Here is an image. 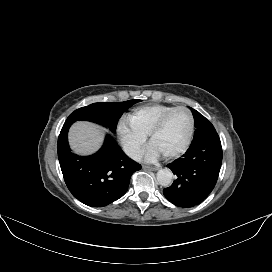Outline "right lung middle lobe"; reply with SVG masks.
<instances>
[{"mask_svg":"<svg viewBox=\"0 0 272 272\" xmlns=\"http://www.w3.org/2000/svg\"><path fill=\"white\" fill-rule=\"evenodd\" d=\"M141 100H129L125 102L93 103L75 110L67 118V121L87 120L108 127L115 132L117 122L121 115L132 105Z\"/></svg>","mask_w":272,"mask_h":272,"instance_id":"1","label":"right lung middle lobe"}]
</instances>
